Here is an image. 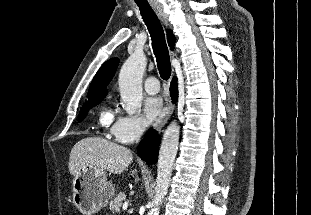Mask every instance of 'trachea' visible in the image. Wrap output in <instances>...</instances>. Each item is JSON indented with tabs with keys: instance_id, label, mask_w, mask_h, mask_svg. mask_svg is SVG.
<instances>
[{
	"instance_id": "obj_1",
	"label": "trachea",
	"mask_w": 311,
	"mask_h": 215,
	"mask_svg": "<svg viewBox=\"0 0 311 215\" xmlns=\"http://www.w3.org/2000/svg\"><path fill=\"white\" fill-rule=\"evenodd\" d=\"M138 7L152 39L160 76L163 80H168L171 75V63L162 25L150 6L138 5Z\"/></svg>"
}]
</instances>
